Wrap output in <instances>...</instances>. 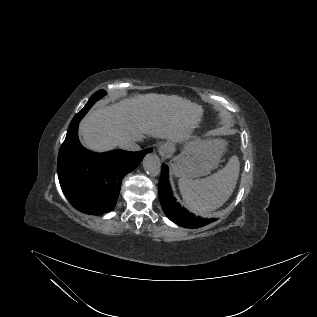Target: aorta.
<instances>
[{
    "label": "aorta",
    "instance_id": "762f6f07",
    "mask_svg": "<svg viewBox=\"0 0 317 317\" xmlns=\"http://www.w3.org/2000/svg\"><path fill=\"white\" fill-rule=\"evenodd\" d=\"M143 168L147 174L156 177L161 172V161L156 154L148 153L143 159Z\"/></svg>",
    "mask_w": 317,
    "mask_h": 317
}]
</instances>
